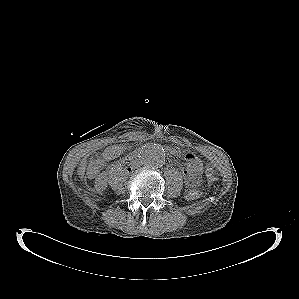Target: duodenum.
Returning a JSON list of instances; mask_svg holds the SVG:
<instances>
[{"instance_id": "1", "label": "duodenum", "mask_w": 299, "mask_h": 299, "mask_svg": "<svg viewBox=\"0 0 299 299\" xmlns=\"http://www.w3.org/2000/svg\"><path fill=\"white\" fill-rule=\"evenodd\" d=\"M136 154H133L130 158H129V161L132 162L136 159Z\"/></svg>"}]
</instances>
